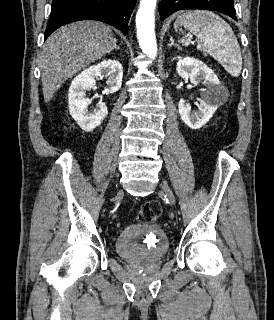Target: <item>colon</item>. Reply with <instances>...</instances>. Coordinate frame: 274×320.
<instances>
[{"mask_svg": "<svg viewBox=\"0 0 274 320\" xmlns=\"http://www.w3.org/2000/svg\"><path fill=\"white\" fill-rule=\"evenodd\" d=\"M161 214V207L155 201H146L137 211V218L144 224H150Z\"/></svg>", "mask_w": 274, "mask_h": 320, "instance_id": "obj_1", "label": "colon"}]
</instances>
